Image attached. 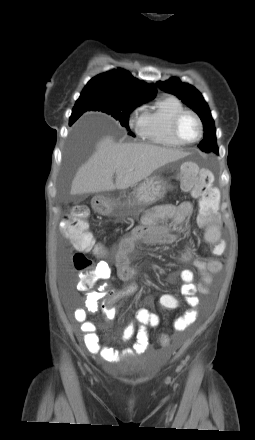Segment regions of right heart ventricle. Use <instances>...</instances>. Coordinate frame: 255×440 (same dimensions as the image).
<instances>
[{
    "label": "right heart ventricle",
    "instance_id": "right-heart-ventricle-1",
    "mask_svg": "<svg viewBox=\"0 0 255 440\" xmlns=\"http://www.w3.org/2000/svg\"><path fill=\"white\" fill-rule=\"evenodd\" d=\"M184 109L182 101L176 96L158 98L144 110L138 125L139 135L153 144L169 148L181 147L172 134L171 126L176 114Z\"/></svg>",
    "mask_w": 255,
    "mask_h": 440
}]
</instances>
